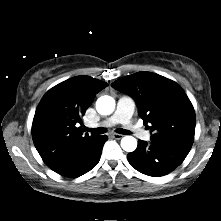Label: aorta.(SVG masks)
<instances>
[{
    "label": "aorta",
    "mask_w": 221,
    "mask_h": 221,
    "mask_svg": "<svg viewBox=\"0 0 221 221\" xmlns=\"http://www.w3.org/2000/svg\"><path fill=\"white\" fill-rule=\"evenodd\" d=\"M115 108V100L110 96H101L96 101V110L101 115H110ZM121 147L127 152H133L137 147V140L133 136L121 139Z\"/></svg>",
    "instance_id": "aorta-1"
}]
</instances>
